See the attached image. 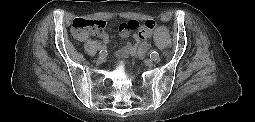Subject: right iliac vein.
Segmentation results:
<instances>
[{
	"mask_svg": "<svg viewBox=\"0 0 255 122\" xmlns=\"http://www.w3.org/2000/svg\"><path fill=\"white\" fill-rule=\"evenodd\" d=\"M104 58H105V53H102V52L99 53L98 58H97V62L102 63Z\"/></svg>",
	"mask_w": 255,
	"mask_h": 122,
	"instance_id": "obj_1",
	"label": "right iliac vein"
}]
</instances>
